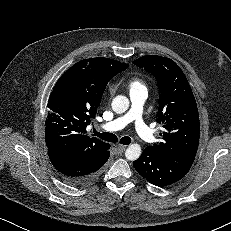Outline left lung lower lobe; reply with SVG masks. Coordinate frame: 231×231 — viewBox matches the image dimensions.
Instances as JSON below:
<instances>
[{
  "label": "left lung lower lobe",
  "instance_id": "0a47b994",
  "mask_svg": "<svg viewBox=\"0 0 231 231\" xmlns=\"http://www.w3.org/2000/svg\"><path fill=\"white\" fill-rule=\"evenodd\" d=\"M133 165L143 178L158 187L179 181L191 168V165L160 157L147 147Z\"/></svg>",
  "mask_w": 231,
  "mask_h": 231
}]
</instances>
